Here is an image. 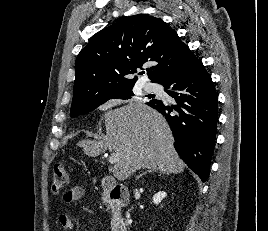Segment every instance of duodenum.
Segmentation results:
<instances>
[{"mask_svg": "<svg viewBox=\"0 0 268 231\" xmlns=\"http://www.w3.org/2000/svg\"><path fill=\"white\" fill-rule=\"evenodd\" d=\"M101 186L111 206L112 231H126V224L120 212V206L128 202L129 195L127 190L112 177H104Z\"/></svg>", "mask_w": 268, "mask_h": 231, "instance_id": "duodenum-1", "label": "duodenum"}]
</instances>
